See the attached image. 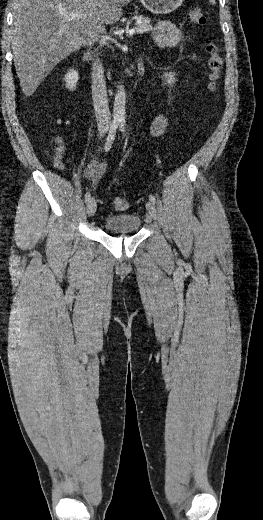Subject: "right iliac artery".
<instances>
[{
    "mask_svg": "<svg viewBox=\"0 0 263 520\" xmlns=\"http://www.w3.org/2000/svg\"><path fill=\"white\" fill-rule=\"evenodd\" d=\"M118 125H119V121H113L110 126L109 134H108V137H107L105 145H104L105 152H108L113 144ZM90 199H91V194L89 192H87L85 194V201L88 202Z\"/></svg>",
    "mask_w": 263,
    "mask_h": 520,
    "instance_id": "obj_1",
    "label": "right iliac artery"
}]
</instances>
